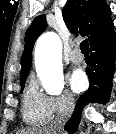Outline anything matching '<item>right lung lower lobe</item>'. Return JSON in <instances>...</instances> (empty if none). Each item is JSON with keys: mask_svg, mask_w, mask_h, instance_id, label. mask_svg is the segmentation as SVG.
Listing matches in <instances>:
<instances>
[{"mask_svg": "<svg viewBox=\"0 0 116 134\" xmlns=\"http://www.w3.org/2000/svg\"><path fill=\"white\" fill-rule=\"evenodd\" d=\"M91 51V68L86 70L90 82L89 89L79 97L72 117L64 126L69 134L76 132L82 109L89 101L106 103L109 100L116 60L114 29L93 43Z\"/></svg>", "mask_w": 116, "mask_h": 134, "instance_id": "1", "label": "right lung lower lobe"}]
</instances>
